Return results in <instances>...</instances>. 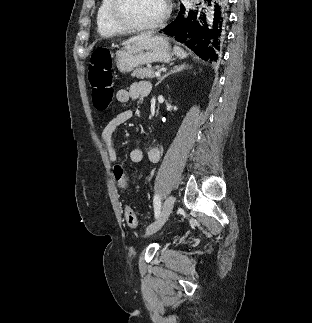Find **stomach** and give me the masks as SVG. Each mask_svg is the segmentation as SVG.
Segmentation results:
<instances>
[{"label":"stomach","instance_id":"1","mask_svg":"<svg viewBox=\"0 0 312 323\" xmlns=\"http://www.w3.org/2000/svg\"><path fill=\"white\" fill-rule=\"evenodd\" d=\"M173 52L166 36H151L142 38L131 44H125L115 54V62L119 72L127 74L144 64L162 62L167 64L172 60Z\"/></svg>","mask_w":312,"mask_h":323}]
</instances>
